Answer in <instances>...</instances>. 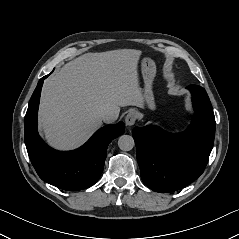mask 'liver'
I'll return each instance as SVG.
<instances>
[{"instance_id":"obj_1","label":"liver","mask_w":239,"mask_h":239,"mask_svg":"<svg viewBox=\"0 0 239 239\" xmlns=\"http://www.w3.org/2000/svg\"><path fill=\"white\" fill-rule=\"evenodd\" d=\"M140 56L133 49L87 53L50 76L39 107V125L47 142L61 150L77 148L102 126L101 113H111L114 121L120 107H142Z\"/></svg>"}]
</instances>
